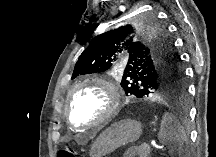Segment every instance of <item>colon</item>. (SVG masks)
I'll return each instance as SVG.
<instances>
[{
    "label": "colon",
    "mask_w": 216,
    "mask_h": 157,
    "mask_svg": "<svg viewBox=\"0 0 216 157\" xmlns=\"http://www.w3.org/2000/svg\"><path fill=\"white\" fill-rule=\"evenodd\" d=\"M58 157H76V154L72 149L64 148L59 151Z\"/></svg>",
    "instance_id": "5ec220e1"
}]
</instances>
